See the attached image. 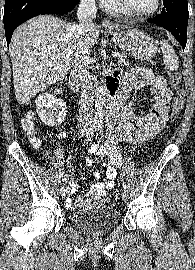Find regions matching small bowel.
<instances>
[{"instance_id":"1","label":"small bowel","mask_w":195,"mask_h":270,"mask_svg":"<svg viewBox=\"0 0 195 270\" xmlns=\"http://www.w3.org/2000/svg\"><path fill=\"white\" fill-rule=\"evenodd\" d=\"M118 85L120 75L114 73L111 77ZM122 87L118 92L116 102L110 106L108 115V126L106 143L98 147L93 145L89 152L95 159L108 158L104 162L106 180L98 182L90 187V191L77 197L76 202L79 205H85L90 202L107 203L109 201L108 190L115 186L117 178V168L122 165L121 155L118 149L120 142L130 144H139L154 137L163 128L167 121L172 99V92L168 89L165 79L162 76L154 75L148 70L132 69L121 78ZM147 86L154 96V105L152 110L144 117H138L134 109L125 105L129 92L134 88ZM87 164H92V159L87 160ZM95 179H100L101 174L94 172ZM70 193L77 191V183L71 181ZM67 205L71 209L74 205L67 200Z\"/></svg>"}]
</instances>
